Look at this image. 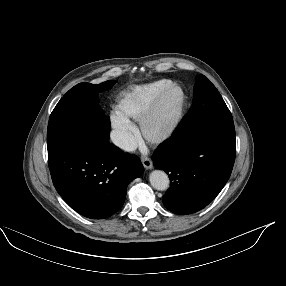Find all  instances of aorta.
<instances>
[{
    "label": "aorta",
    "instance_id": "aorta-1",
    "mask_svg": "<svg viewBox=\"0 0 286 286\" xmlns=\"http://www.w3.org/2000/svg\"><path fill=\"white\" fill-rule=\"evenodd\" d=\"M149 181L152 187L159 191H164L169 187L168 175L161 170H154L150 173Z\"/></svg>",
    "mask_w": 286,
    "mask_h": 286
}]
</instances>
